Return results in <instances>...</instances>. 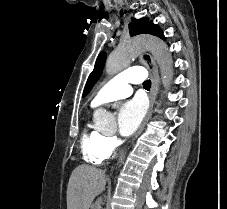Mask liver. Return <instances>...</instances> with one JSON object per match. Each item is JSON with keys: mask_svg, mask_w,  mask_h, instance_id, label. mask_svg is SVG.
I'll return each mask as SVG.
<instances>
[{"mask_svg": "<svg viewBox=\"0 0 227 209\" xmlns=\"http://www.w3.org/2000/svg\"><path fill=\"white\" fill-rule=\"evenodd\" d=\"M100 173L88 165H79L74 169L67 187V209H89L97 191V179ZM89 197V203H85Z\"/></svg>", "mask_w": 227, "mask_h": 209, "instance_id": "1", "label": "liver"}]
</instances>
